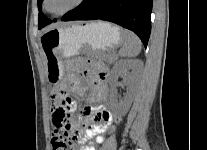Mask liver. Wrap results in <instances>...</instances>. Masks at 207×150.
I'll return each instance as SVG.
<instances>
[{
  "label": "liver",
  "mask_w": 207,
  "mask_h": 150,
  "mask_svg": "<svg viewBox=\"0 0 207 150\" xmlns=\"http://www.w3.org/2000/svg\"><path fill=\"white\" fill-rule=\"evenodd\" d=\"M58 25H59V23L52 24V25H50L49 27L46 28V31L51 29V28L57 27Z\"/></svg>",
  "instance_id": "6515ba94"
}]
</instances>
